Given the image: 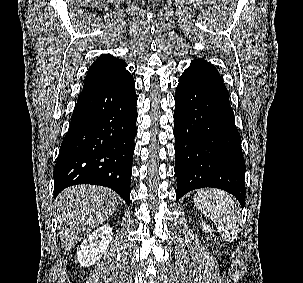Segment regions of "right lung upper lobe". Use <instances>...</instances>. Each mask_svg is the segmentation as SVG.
<instances>
[{
  "label": "right lung upper lobe",
  "mask_w": 303,
  "mask_h": 283,
  "mask_svg": "<svg viewBox=\"0 0 303 283\" xmlns=\"http://www.w3.org/2000/svg\"><path fill=\"white\" fill-rule=\"evenodd\" d=\"M125 61L105 54L96 59L89 67L84 81L83 91L113 82L125 74Z\"/></svg>",
  "instance_id": "obj_1"
}]
</instances>
